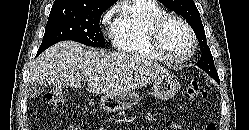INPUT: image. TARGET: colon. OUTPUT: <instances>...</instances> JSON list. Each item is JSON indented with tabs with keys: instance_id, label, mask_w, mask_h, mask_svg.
Returning <instances> with one entry per match:
<instances>
[{
	"instance_id": "colon-1",
	"label": "colon",
	"mask_w": 249,
	"mask_h": 130,
	"mask_svg": "<svg viewBox=\"0 0 249 130\" xmlns=\"http://www.w3.org/2000/svg\"><path fill=\"white\" fill-rule=\"evenodd\" d=\"M187 95L190 99H206L207 91L198 81H191L187 86ZM43 100L54 109H60L65 103V91L63 88H54L44 95ZM205 130H216L212 119L207 120Z\"/></svg>"
}]
</instances>
